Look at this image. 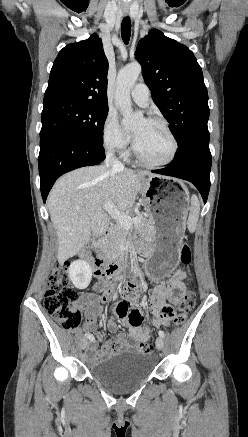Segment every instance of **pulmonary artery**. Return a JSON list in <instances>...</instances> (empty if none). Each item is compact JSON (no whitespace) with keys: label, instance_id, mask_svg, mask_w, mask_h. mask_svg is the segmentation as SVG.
Returning <instances> with one entry per match:
<instances>
[{"label":"pulmonary artery","instance_id":"1","mask_svg":"<svg viewBox=\"0 0 248 437\" xmlns=\"http://www.w3.org/2000/svg\"><path fill=\"white\" fill-rule=\"evenodd\" d=\"M132 99L140 106H147L150 100V90L144 83L136 84L130 91Z\"/></svg>","mask_w":248,"mask_h":437}]
</instances>
